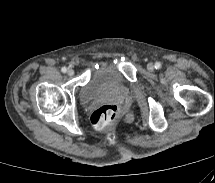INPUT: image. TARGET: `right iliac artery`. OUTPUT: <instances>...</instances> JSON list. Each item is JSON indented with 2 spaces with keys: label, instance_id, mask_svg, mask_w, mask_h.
Returning a JSON list of instances; mask_svg holds the SVG:
<instances>
[{
  "label": "right iliac artery",
  "instance_id": "1",
  "mask_svg": "<svg viewBox=\"0 0 215 183\" xmlns=\"http://www.w3.org/2000/svg\"><path fill=\"white\" fill-rule=\"evenodd\" d=\"M61 71H62L63 73H66V72H67V68H66V67H63V68L61 69Z\"/></svg>",
  "mask_w": 215,
  "mask_h": 183
}]
</instances>
